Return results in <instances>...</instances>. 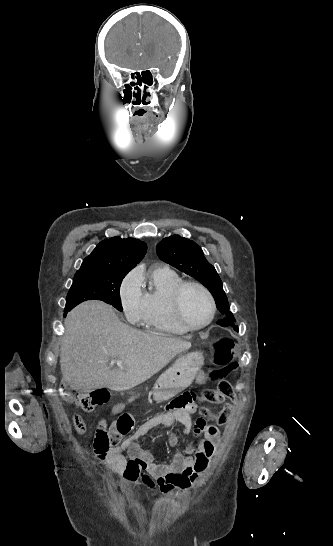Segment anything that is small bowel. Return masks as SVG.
Returning a JSON list of instances; mask_svg holds the SVG:
<instances>
[{
  "label": "small bowel",
  "instance_id": "c3829d8e",
  "mask_svg": "<svg viewBox=\"0 0 333 546\" xmlns=\"http://www.w3.org/2000/svg\"><path fill=\"white\" fill-rule=\"evenodd\" d=\"M193 374V378L197 380L196 386L199 387L201 384L204 387L207 386L208 383L205 381L207 371L196 370ZM233 407L231 403H225L224 407L220 409L221 413L216 414L205 409L204 412L211 417L221 414L218 417L217 425L212 423L206 427L205 439L197 449L189 445L184 452L176 451L170 464L155 463L152 454L142 450L138 442L147 437L149 430L175 423L182 424L184 434H189L193 428L190 416L194 410L193 405L171 406V411L148 419L129 437L121 439L117 445L113 446L107 456L103 458V462L110 473L123 474L131 482L142 481L149 487L158 488L166 494H171L175 490H189L200 478L208 464L214 460L221 444V434L217 426L225 427L227 425L226 421L230 419V410ZM123 408L121 402H116L112 406V416L120 414ZM122 416L130 420L131 431L133 429L132 418L128 414ZM170 442L175 445L177 438L172 436ZM143 472H146L148 476Z\"/></svg>",
  "mask_w": 333,
  "mask_h": 546
}]
</instances>
